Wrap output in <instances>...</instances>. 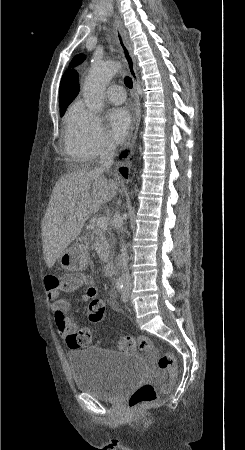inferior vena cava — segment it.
<instances>
[{
  "label": "inferior vena cava",
  "mask_w": 245,
  "mask_h": 450,
  "mask_svg": "<svg viewBox=\"0 0 245 450\" xmlns=\"http://www.w3.org/2000/svg\"><path fill=\"white\" fill-rule=\"evenodd\" d=\"M114 154H115V146L110 142H105L101 148L99 161L101 165L100 169L102 171L105 169H109L111 167V165L113 164ZM114 219H115V227L121 228L123 220L118 212L114 215ZM120 247H121V263H122L124 284L130 285L132 278L128 270L129 256L127 253V248L124 242H121Z\"/></svg>",
  "instance_id": "inferior-vena-cava-1"
}]
</instances>
